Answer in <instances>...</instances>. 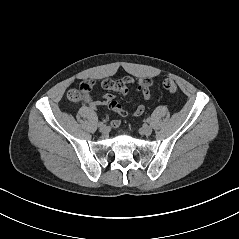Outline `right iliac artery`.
Instances as JSON below:
<instances>
[{
  "mask_svg": "<svg viewBox=\"0 0 239 239\" xmlns=\"http://www.w3.org/2000/svg\"><path fill=\"white\" fill-rule=\"evenodd\" d=\"M103 125V122H99L98 123V126L100 127V126H102Z\"/></svg>",
  "mask_w": 239,
  "mask_h": 239,
  "instance_id": "82829eb1",
  "label": "right iliac artery"
}]
</instances>
